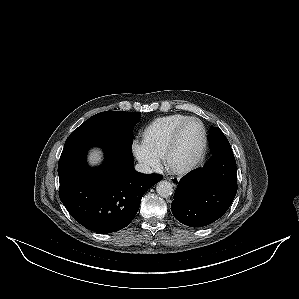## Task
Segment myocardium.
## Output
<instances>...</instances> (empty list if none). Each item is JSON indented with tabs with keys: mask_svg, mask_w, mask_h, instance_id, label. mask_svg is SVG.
Listing matches in <instances>:
<instances>
[{
	"mask_svg": "<svg viewBox=\"0 0 299 299\" xmlns=\"http://www.w3.org/2000/svg\"><path fill=\"white\" fill-rule=\"evenodd\" d=\"M192 122H196L200 125L201 129H202V143H201V148L199 151L198 156L196 157V159L191 162L190 164H188L185 167H181V168H174L169 164V156L170 153L175 145L176 139L180 133V131L189 123ZM206 148H207V132H206V128L203 124V122L195 117H191L186 119L184 122H182L171 134L168 143L164 149V153H163V163L164 166L166 167V169H168L169 171H171L174 174L177 175H183L186 173H189L190 171L194 170L196 167L199 166V164L202 162L205 153H206Z\"/></svg>",
	"mask_w": 299,
	"mask_h": 299,
	"instance_id": "obj_1",
	"label": "myocardium"
}]
</instances>
